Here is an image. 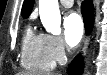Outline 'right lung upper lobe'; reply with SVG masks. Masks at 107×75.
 <instances>
[{"mask_svg":"<svg viewBox=\"0 0 107 75\" xmlns=\"http://www.w3.org/2000/svg\"><path fill=\"white\" fill-rule=\"evenodd\" d=\"M34 0H24L23 7H22V16L23 18H27L31 10L33 8Z\"/></svg>","mask_w":107,"mask_h":75,"instance_id":"right-lung-upper-lobe-1","label":"right lung upper lobe"}]
</instances>
